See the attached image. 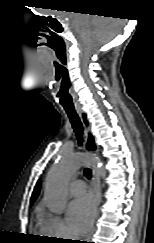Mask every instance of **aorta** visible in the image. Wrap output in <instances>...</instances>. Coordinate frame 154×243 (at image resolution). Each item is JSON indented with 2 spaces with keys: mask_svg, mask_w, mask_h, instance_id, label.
I'll return each instance as SVG.
<instances>
[{
  "mask_svg": "<svg viewBox=\"0 0 154 243\" xmlns=\"http://www.w3.org/2000/svg\"><path fill=\"white\" fill-rule=\"evenodd\" d=\"M90 162V158L75 153H63L58 162L49 171L46 184L45 196L51 212L61 214L66 206V187L72 176L84 164ZM98 174L106 177V171L100 162L94 163Z\"/></svg>",
  "mask_w": 154,
  "mask_h": 243,
  "instance_id": "aorta-1",
  "label": "aorta"
}]
</instances>
